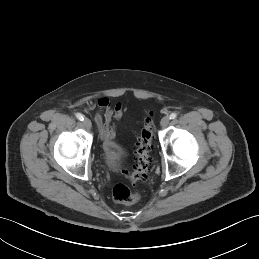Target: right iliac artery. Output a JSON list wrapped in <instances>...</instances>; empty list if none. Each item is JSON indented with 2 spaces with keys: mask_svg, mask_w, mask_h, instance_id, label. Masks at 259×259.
Here are the masks:
<instances>
[{
  "mask_svg": "<svg viewBox=\"0 0 259 259\" xmlns=\"http://www.w3.org/2000/svg\"><path fill=\"white\" fill-rule=\"evenodd\" d=\"M77 119H79L80 121L84 120V116L81 113H77L76 114Z\"/></svg>",
  "mask_w": 259,
  "mask_h": 259,
  "instance_id": "1",
  "label": "right iliac artery"
}]
</instances>
